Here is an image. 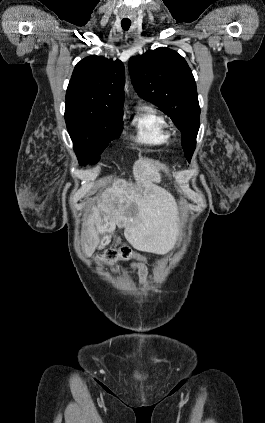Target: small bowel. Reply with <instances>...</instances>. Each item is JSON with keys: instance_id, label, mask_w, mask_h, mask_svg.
Wrapping results in <instances>:
<instances>
[{"instance_id": "c3829d8e", "label": "small bowel", "mask_w": 265, "mask_h": 423, "mask_svg": "<svg viewBox=\"0 0 265 423\" xmlns=\"http://www.w3.org/2000/svg\"><path fill=\"white\" fill-rule=\"evenodd\" d=\"M131 269L133 271H139L140 279H141L142 283H144L145 282V275H146L144 266L142 264H131Z\"/></svg>"}]
</instances>
